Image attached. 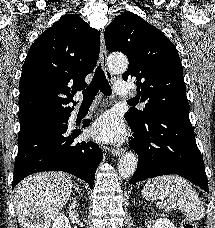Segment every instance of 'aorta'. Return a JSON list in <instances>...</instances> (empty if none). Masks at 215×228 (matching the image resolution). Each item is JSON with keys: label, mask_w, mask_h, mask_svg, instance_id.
Instances as JSON below:
<instances>
[{"label": "aorta", "mask_w": 215, "mask_h": 228, "mask_svg": "<svg viewBox=\"0 0 215 228\" xmlns=\"http://www.w3.org/2000/svg\"><path fill=\"white\" fill-rule=\"evenodd\" d=\"M110 64L112 68L118 70V72H125L129 66V62L126 56L123 54H118V58L116 56H111ZM138 164V158L136 154H125L122 156L119 166H118V174H120L121 178L127 180V178H131L133 176Z\"/></svg>", "instance_id": "1"}]
</instances>
